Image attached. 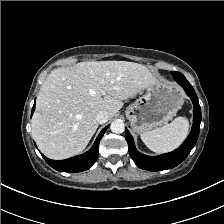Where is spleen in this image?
I'll list each match as a JSON object with an SVG mask.
<instances>
[{
  "mask_svg": "<svg viewBox=\"0 0 224 224\" xmlns=\"http://www.w3.org/2000/svg\"><path fill=\"white\" fill-rule=\"evenodd\" d=\"M188 133V119L179 116L170 124L141 134V139L151 151L166 153L179 147Z\"/></svg>",
  "mask_w": 224,
  "mask_h": 224,
  "instance_id": "obj_1",
  "label": "spleen"
}]
</instances>
